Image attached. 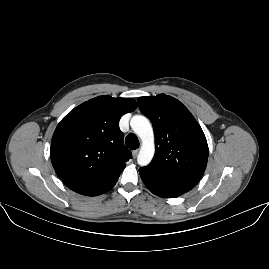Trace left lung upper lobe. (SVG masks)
<instances>
[{
  "mask_svg": "<svg viewBox=\"0 0 269 269\" xmlns=\"http://www.w3.org/2000/svg\"><path fill=\"white\" fill-rule=\"evenodd\" d=\"M141 112L153 125L155 156L144 172L197 184L207 165L205 135L190 111L177 99L159 94L139 97Z\"/></svg>",
  "mask_w": 269,
  "mask_h": 269,
  "instance_id": "obj_1",
  "label": "left lung upper lobe"
}]
</instances>
